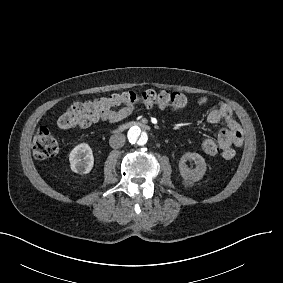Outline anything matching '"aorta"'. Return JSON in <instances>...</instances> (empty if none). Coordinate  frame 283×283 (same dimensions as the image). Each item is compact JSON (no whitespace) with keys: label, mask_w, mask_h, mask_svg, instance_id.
Here are the masks:
<instances>
[{"label":"aorta","mask_w":283,"mask_h":283,"mask_svg":"<svg viewBox=\"0 0 283 283\" xmlns=\"http://www.w3.org/2000/svg\"><path fill=\"white\" fill-rule=\"evenodd\" d=\"M128 140L131 144L144 146L149 139L148 133L138 126H133L127 133Z\"/></svg>","instance_id":"aorta-1"}]
</instances>
